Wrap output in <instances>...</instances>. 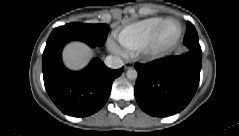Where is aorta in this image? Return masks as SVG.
Listing matches in <instances>:
<instances>
[{"mask_svg": "<svg viewBox=\"0 0 239 136\" xmlns=\"http://www.w3.org/2000/svg\"><path fill=\"white\" fill-rule=\"evenodd\" d=\"M126 75L129 79H135L137 77V71L133 68L127 70Z\"/></svg>", "mask_w": 239, "mask_h": 136, "instance_id": "obj_1", "label": "aorta"}]
</instances>
